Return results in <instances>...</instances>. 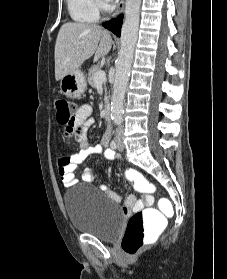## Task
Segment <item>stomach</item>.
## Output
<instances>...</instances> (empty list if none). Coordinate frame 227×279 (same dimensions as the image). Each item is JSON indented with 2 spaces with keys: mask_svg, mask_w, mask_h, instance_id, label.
I'll use <instances>...</instances> for the list:
<instances>
[{
  "mask_svg": "<svg viewBox=\"0 0 227 279\" xmlns=\"http://www.w3.org/2000/svg\"><path fill=\"white\" fill-rule=\"evenodd\" d=\"M87 83L83 72L76 69L60 80V92L69 98H78L86 90Z\"/></svg>",
  "mask_w": 227,
  "mask_h": 279,
  "instance_id": "0dacf381",
  "label": "stomach"
}]
</instances>
